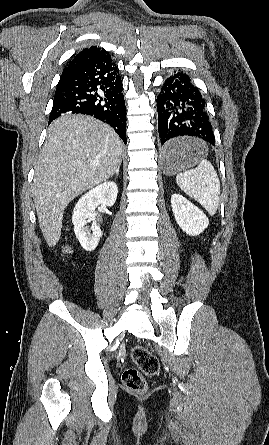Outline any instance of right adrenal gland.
<instances>
[{
  "label": "right adrenal gland",
  "instance_id": "2a0ac1e0",
  "mask_svg": "<svg viewBox=\"0 0 269 445\" xmlns=\"http://www.w3.org/2000/svg\"><path fill=\"white\" fill-rule=\"evenodd\" d=\"M119 169H120V165L118 166V168L116 169V171L112 174V176L115 174L116 177L119 176Z\"/></svg>",
  "mask_w": 269,
  "mask_h": 445
}]
</instances>
